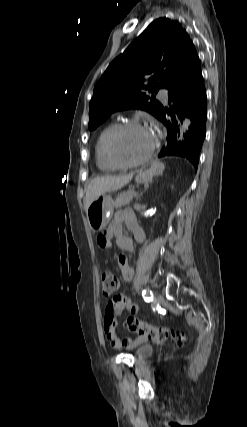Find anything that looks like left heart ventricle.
Here are the masks:
<instances>
[{
	"mask_svg": "<svg viewBox=\"0 0 247 427\" xmlns=\"http://www.w3.org/2000/svg\"><path fill=\"white\" fill-rule=\"evenodd\" d=\"M153 141L154 133L149 128L133 127L119 136L115 150L123 161H135L146 155Z\"/></svg>",
	"mask_w": 247,
	"mask_h": 427,
	"instance_id": "obj_1",
	"label": "left heart ventricle"
}]
</instances>
